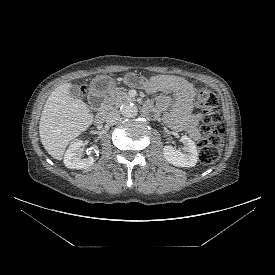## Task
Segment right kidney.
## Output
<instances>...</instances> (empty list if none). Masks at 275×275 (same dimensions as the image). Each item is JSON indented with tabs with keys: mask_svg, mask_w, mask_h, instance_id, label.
<instances>
[{
	"mask_svg": "<svg viewBox=\"0 0 275 275\" xmlns=\"http://www.w3.org/2000/svg\"><path fill=\"white\" fill-rule=\"evenodd\" d=\"M83 144L84 142L82 140H77L69 146L64 156V164L67 168L82 170L94 163L95 156H93V154L98 156L99 152L97 149H94L92 151L93 154L88 158L78 157V151Z\"/></svg>",
	"mask_w": 275,
	"mask_h": 275,
	"instance_id": "1",
	"label": "right kidney"
}]
</instances>
